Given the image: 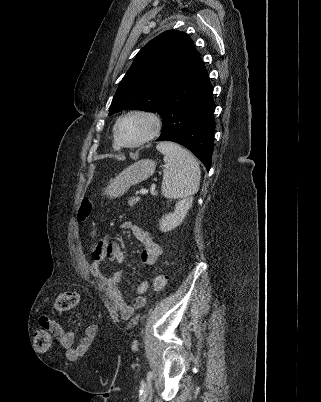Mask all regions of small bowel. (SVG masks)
I'll use <instances>...</instances> for the list:
<instances>
[{"mask_svg": "<svg viewBox=\"0 0 321 402\" xmlns=\"http://www.w3.org/2000/svg\"><path fill=\"white\" fill-rule=\"evenodd\" d=\"M124 228L129 229L135 238L143 245V250L140 254L141 263L145 267H151L162 257V249L155 242L147 231L144 229L126 223ZM92 229V233L95 232ZM124 260V252L120 244L111 237H106L95 248L94 260L91 265V271L94 276L104 278V262L110 261L115 264H121ZM121 273L114 272L106 279L110 297L118 309L122 319L128 320L132 317L136 310H139L145 305L144 293L148 289L149 282L146 277H142L135 287V296L131 303H127L120 289ZM40 325L50 331L61 343L66 350L68 359L84 358L86 356V346L89 345L91 339H94L97 329L94 324H89L83 330L80 340L84 344H75L72 333L69 329L62 326L60 323L52 319L48 315L40 317Z\"/></svg>", "mask_w": 321, "mask_h": 402, "instance_id": "obj_1", "label": "small bowel"}]
</instances>
